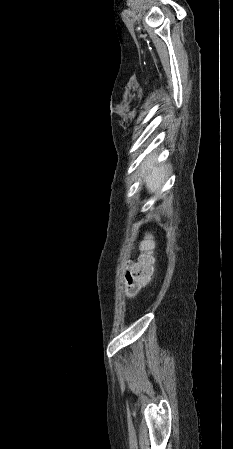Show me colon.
<instances>
[{
    "instance_id": "1",
    "label": "colon",
    "mask_w": 233,
    "mask_h": 449,
    "mask_svg": "<svg viewBox=\"0 0 233 449\" xmlns=\"http://www.w3.org/2000/svg\"><path fill=\"white\" fill-rule=\"evenodd\" d=\"M145 253L136 263L128 275V280L137 288L147 284L153 274V259L149 253L151 241L147 240L144 244Z\"/></svg>"
}]
</instances>
